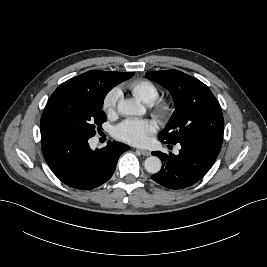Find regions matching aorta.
<instances>
[{"label":"aorta","mask_w":267,"mask_h":267,"mask_svg":"<svg viewBox=\"0 0 267 267\" xmlns=\"http://www.w3.org/2000/svg\"><path fill=\"white\" fill-rule=\"evenodd\" d=\"M118 111L125 116L144 115L145 107L134 99H120L117 105ZM161 160L156 156L148 157L144 162L145 170L148 173L156 174L161 170Z\"/></svg>","instance_id":"1"}]
</instances>
